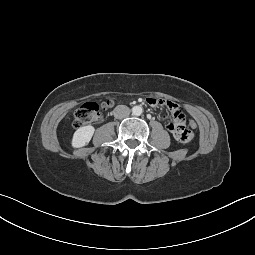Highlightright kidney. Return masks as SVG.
Listing matches in <instances>:
<instances>
[{
  "mask_svg": "<svg viewBox=\"0 0 255 255\" xmlns=\"http://www.w3.org/2000/svg\"><path fill=\"white\" fill-rule=\"evenodd\" d=\"M95 132V128L91 125L80 127L75 131L72 138V146L80 148L88 144Z\"/></svg>",
  "mask_w": 255,
  "mask_h": 255,
  "instance_id": "obj_1",
  "label": "right kidney"
}]
</instances>
